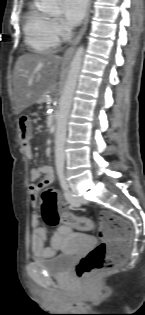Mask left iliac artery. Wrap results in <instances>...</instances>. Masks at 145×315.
Masks as SVG:
<instances>
[{
	"instance_id": "1",
	"label": "left iliac artery",
	"mask_w": 145,
	"mask_h": 315,
	"mask_svg": "<svg viewBox=\"0 0 145 315\" xmlns=\"http://www.w3.org/2000/svg\"><path fill=\"white\" fill-rule=\"evenodd\" d=\"M59 177V181H60V185L62 187L63 190H67L68 189V183H67V179L64 173H59L58 174Z\"/></svg>"
}]
</instances>
